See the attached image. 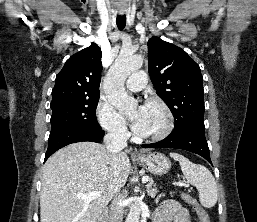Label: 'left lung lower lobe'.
<instances>
[{
	"label": "left lung lower lobe",
	"instance_id": "0a47b994",
	"mask_svg": "<svg viewBox=\"0 0 257 222\" xmlns=\"http://www.w3.org/2000/svg\"><path fill=\"white\" fill-rule=\"evenodd\" d=\"M142 147L183 149L204 157L212 164L203 127H188L172 131L165 139L152 144H143Z\"/></svg>",
	"mask_w": 257,
	"mask_h": 222
}]
</instances>
